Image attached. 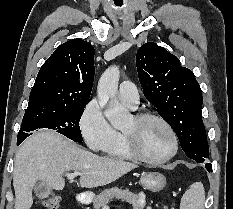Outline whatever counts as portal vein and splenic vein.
Masks as SVG:
<instances>
[{"label":"portal vein and splenic vein","mask_w":233,"mask_h":209,"mask_svg":"<svg viewBox=\"0 0 233 209\" xmlns=\"http://www.w3.org/2000/svg\"><path fill=\"white\" fill-rule=\"evenodd\" d=\"M80 174H81L80 172L68 173L67 178L72 180V179H74L76 176H78ZM104 209H109V207L105 206Z\"/></svg>","instance_id":"obj_1"}]
</instances>
